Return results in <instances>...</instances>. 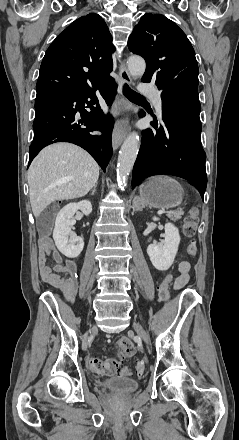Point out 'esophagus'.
<instances>
[{
    "mask_svg": "<svg viewBox=\"0 0 239 440\" xmlns=\"http://www.w3.org/2000/svg\"><path fill=\"white\" fill-rule=\"evenodd\" d=\"M119 75L124 82L131 84L132 79L124 63H122L119 68ZM125 137L126 129L122 126L120 121H117L112 134V145L114 150L121 145Z\"/></svg>",
    "mask_w": 239,
    "mask_h": 440,
    "instance_id": "obj_1",
    "label": "esophagus"
}]
</instances>
